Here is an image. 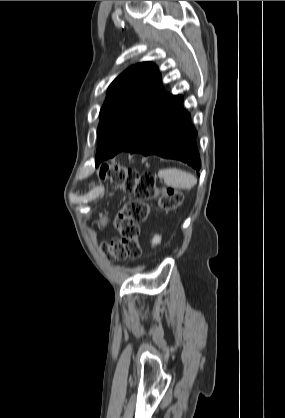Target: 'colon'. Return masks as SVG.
<instances>
[{
	"label": "colon",
	"instance_id": "5ec220e1",
	"mask_svg": "<svg viewBox=\"0 0 285 418\" xmlns=\"http://www.w3.org/2000/svg\"><path fill=\"white\" fill-rule=\"evenodd\" d=\"M102 179L110 180L131 197L115 218L114 226L118 236L102 242L100 250L107 259L125 257L138 259L142 255L140 244V223L145 221L154 204L165 211H174L182 202V192L167 186L157 188L152 174H135L119 163L102 166Z\"/></svg>",
	"mask_w": 285,
	"mask_h": 418
}]
</instances>
